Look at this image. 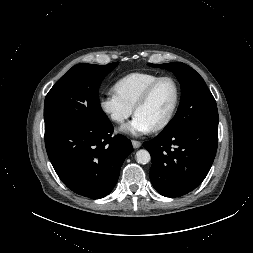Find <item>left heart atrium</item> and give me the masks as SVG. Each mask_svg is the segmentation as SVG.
<instances>
[{
	"mask_svg": "<svg viewBox=\"0 0 253 253\" xmlns=\"http://www.w3.org/2000/svg\"><path fill=\"white\" fill-rule=\"evenodd\" d=\"M121 130L134 136H141L150 133L153 128L143 118L135 115L132 121L124 125Z\"/></svg>",
	"mask_w": 253,
	"mask_h": 253,
	"instance_id": "obj_1",
	"label": "left heart atrium"
}]
</instances>
